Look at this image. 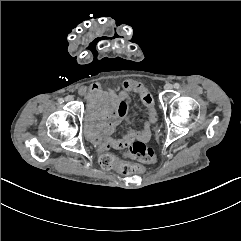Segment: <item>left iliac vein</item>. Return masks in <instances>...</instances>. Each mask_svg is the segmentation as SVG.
<instances>
[{"label": "left iliac vein", "mask_w": 241, "mask_h": 241, "mask_svg": "<svg viewBox=\"0 0 241 241\" xmlns=\"http://www.w3.org/2000/svg\"><path fill=\"white\" fill-rule=\"evenodd\" d=\"M172 88H173V86H172V84H170V83H166V84L164 85V89L167 90V91L171 90Z\"/></svg>", "instance_id": "1"}]
</instances>
